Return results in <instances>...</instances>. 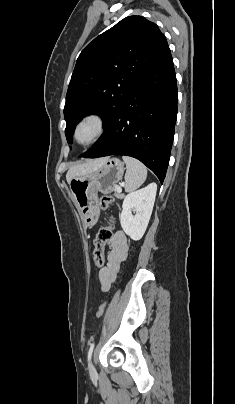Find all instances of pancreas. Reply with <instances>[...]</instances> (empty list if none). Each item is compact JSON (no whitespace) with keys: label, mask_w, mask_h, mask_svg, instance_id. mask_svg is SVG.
I'll list each match as a JSON object with an SVG mask.
<instances>
[{"label":"pancreas","mask_w":235,"mask_h":404,"mask_svg":"<svg viewBox=\"0 0 235 404\" xmlns=\"http://www.w3.org/2000/svg\"><path fill=\"white\" fill-rule=\"evenodd\" d=\"M114 196H115L117 199H122V198L124 197V195H123L122 193H120V192L115 193Z\"/></svg>","instance_id":"obj_1"}]
</instances>
